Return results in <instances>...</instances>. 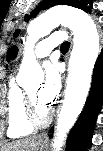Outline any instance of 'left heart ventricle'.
<instances>
[{"label": "left heart ventricle", "mask_w": 103, "mask_h": 151, "mask_svg": "<svg viewBox=\"0 0 103 151\" xmlns=\"http://www.w3.org/2000/svg\"><path fill=\"white\" fill-rule=\"evenodd\" d=\"M26 91L28 92L30 98L32 99V101L35 105L38 116H41V117L44 116L47 113L48 108L44 107L43 105H41L38 102L39 85L35 84V85L29 87Z\"/></svg>", "instance_id": "b2bd125f"}]
</instances>
